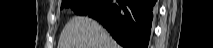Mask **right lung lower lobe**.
I'll use <instances>...</instances> for the list:
<instances>
[{"instance_id": "right-lung-lower-lobe-1", "label": "right lung lower lobe", "mask_w": 213, "mask_h": 48, "mask_svg": "<svg viewBox=\"0 0 213 48\" xmlns=\"http://www.w3.org/2000/svg\"><path fill=\"white\" fill-rule=\"evenodd\" d=\"M156 0H95L84 15L101 23L124 48H147Z\"/></svg>"}]
</instances>
